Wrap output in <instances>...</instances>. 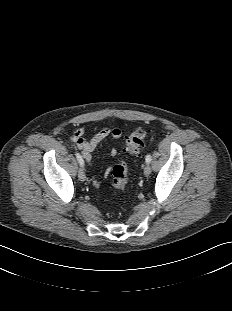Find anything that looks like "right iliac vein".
<instances>
[{"mask_svg": "<svg viewBox=\"0 0 232 311\" xmlns=\"http://www.w3.org/2000/svg\"><path fill=\"white\" fill-rule=\"evenodd\" d=\"M78 177H79V179L81 181H85L86 180V175H85V172H84L83 168H80L79 173H78Z\"/></svg>", "mask_w": 232, "mask_h": 311, "instance_id": "1", "label": "right iliac vein"}]
</instances>
